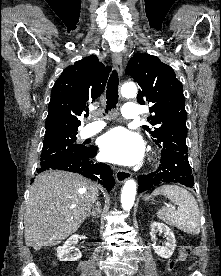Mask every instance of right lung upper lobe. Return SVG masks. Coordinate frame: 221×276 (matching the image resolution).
Wrapping results in <instances>:
<instances>
[{
    "label": "right lung upper lobe",
    "instance_id": "cb5924a9",
    "mask_svg": "<svg viewBox=\"0 0 221 276\" xmlns=\"http://www.w3.org/2000/svg\"><path fill=\"white\" fill-rule=\"evenodd\" d=\"M111 67L90 55L67 67L55 82L48 105L46 134L77 132L87 105L103 93Z\"/></svg>",
    "mask_w": 221,
    "mask_h": 276
}]
</instances>
